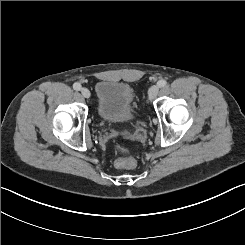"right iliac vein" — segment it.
<instances>
[{
    "label": "right iliac vein",
    "instance_id": "right-iliac-vein-1",
    "mask_svg": "<svg viewBox=\"0 0 245 245\" xmlns=\"http://www.w3.org/2000/svg\"><path fill=\"white\" fill-rule=\"evenodd\" d=\"M81 94L85 98H89L90 97V91L87 88H82L81 89Z\"/></svg>",
    "mask_w": 245,
    "mask_h": 245
}]
</instances>
